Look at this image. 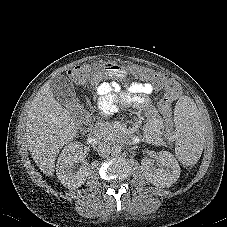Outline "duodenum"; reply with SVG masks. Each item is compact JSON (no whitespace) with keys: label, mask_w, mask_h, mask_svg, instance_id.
Wrapping results in <instances>:
<instances>
[{"label":"duodenum","mask_w":227,"mask_h":227,"mask_svg":"<svg viewBox=\"0 0 227 227\" xmlns=\"http://www.w3.org/2000/svg\"><path fill=\"white\" fill-rule=\"evenodd\" d=\"M86 140L90 145H97L98 144V135L95 131H90L86 135Z\"/></svg>","instance_id":"410a0bca"}]
</instances>
